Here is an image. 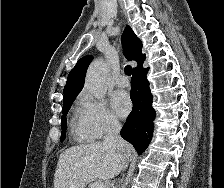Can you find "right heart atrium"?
Instances as JSON below:
<instances>
[{
	"label": "right heart atrium",
	"instance_id": "right-heart-atrium-1",
	"mask_svg": "<svg viewBox=\"0 0 224 188\" xmlns=\"http://www.w3.org/2000/svg\"><path fill=\"white\" fill-rule=\"evenodd\" d=\"M80 109L81 123L92 139H102L120 127L119 121L108 109L106 103L94 98L87 91L81 94Z\"/></svg>",
	"mask_w": 224,
	"mask_h": 188
}]
</instances>
